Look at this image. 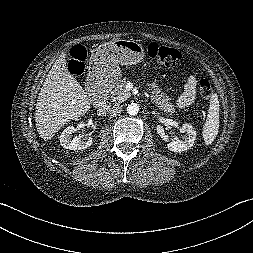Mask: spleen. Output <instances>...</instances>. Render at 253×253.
Segmentation results:
<instances>
[{
	"label": "spleen",
	"instance_id": "1",
	"mask_svg": "<svg viewBox=\"0 0 253 253\" xmlns=\"http://www.w3.org/2000/svg\"><path fill=\"white\" fill-rule=\"evenodd\" d=\"M219 100L217 94H212L210 98V105L208 115L203 127V138L206 145L212 144L215 140L219 129Z\"/></svg>",
	"mask_w": 253,
	"mask_h": 253
}]
</instances>
